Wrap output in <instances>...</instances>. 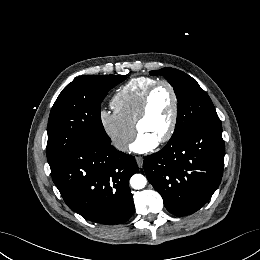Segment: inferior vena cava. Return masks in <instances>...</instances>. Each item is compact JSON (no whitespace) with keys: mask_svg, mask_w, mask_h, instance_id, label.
I'll use <instances>...</instances> for the list:
<instances>
[{"mask_svg":"<svg viewBox=\"0 0 260 260\" xmlns=\"http://www.w3.org/2000/svg\"><path fill=\"white\" fill-rule=\"evenodd\" d=\"M114 146L118 149V150H126L128 147V142L124 141V140H117L114 142Z\"/></svg>","mask_w":260,"mask_h":260,"instance_id":"1","label":"inferior vena cava"}]
</instances>
